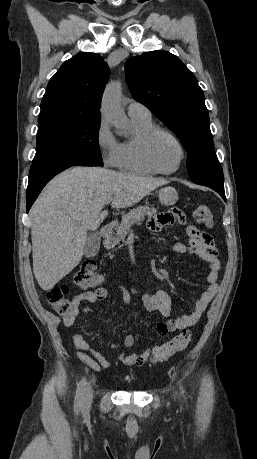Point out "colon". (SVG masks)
Returning a JSON list of instances; mask_svg holds the SVG:
<instances>
[{
	"label": "colon",
	"mask_w": 257,
	"mask_h": 459,
	"mask_svg": "<svg viewBox=\"0 0 257 459\" xmlns=\"http://www.w3.org/2000/svg\"><path fill=\"white\" fill-rule=\"evenodd\" d=\"M197 223L210 227L212 224V211L207 204L199 205L194 211ZM75 283L87 289L96 286L101 281V276L96 271V265L91 260H85L74 275ZM68 288L65 285L56 286L46 291V300L54 310L62 316L71 314L76 309V304L67 297ZM191 342V333L187 330L179 333L170 341L156 346L153 349L151 360L154 363L163 362L172 355L183 351Z\"/></svg>",
	"instance_id": "colon-1"
}]
</instances>
